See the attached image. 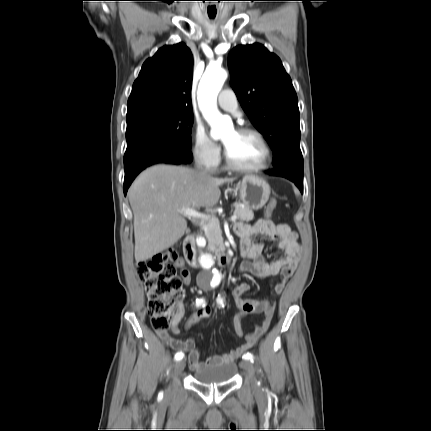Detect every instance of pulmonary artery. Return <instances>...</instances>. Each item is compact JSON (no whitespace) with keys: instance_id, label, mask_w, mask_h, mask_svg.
Instances as JSON below:
<instances>
[{"instance_id":"pulmonary-artery-1","label":"pulmonary artery","mask_w":431,"mask_h":431,"mask_svg":"<svg viewBox=\"0 0 431 431\" xmlns=\"http://www.w3.org/2000/svg\"><path fill=\"white\" fill-rule=\"evenodd\" d=\"M218 105L225 111H228L235 116H240L241 113L238 110V101L236 95L231 89H224L218 96Z\"/></svg>"}]
</instances>
